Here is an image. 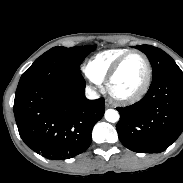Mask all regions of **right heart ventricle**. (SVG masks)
Segmentation results:
<instances>
[{
	"mask_svg": "<svg viewBox=\"0 0 183 183\" xmlns=\"http://www.w3.org/2000/svg\"><path fill=\"white\" fill-rule=\"evenodd\" d=\"M128 50L126 48H116L101 51L89 60L88 66L92 73L102 80L106 77L113 63Z\"/></svg>",
	"mask_w": 183,
	"mask_h": 183,
	"instance_id": "obj_1",
	"label": "right heart ventricle"
}]
</instances>
